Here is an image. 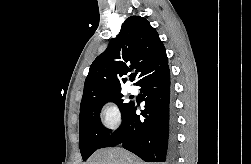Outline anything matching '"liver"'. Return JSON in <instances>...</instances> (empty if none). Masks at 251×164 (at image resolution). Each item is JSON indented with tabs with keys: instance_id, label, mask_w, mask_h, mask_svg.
Instances as JSON below:
<instances>
[{
	"instance_id": "obj_1",
	"label": "liver",
	"mask_w": 251,
	"mask_h": 164,
	"mask_svg": "<svg viewBox=\"0 0 251 164\" xmlns=\"http://www.w3.org/2000/svg\"><path fill=\"white\" fill-rule=\"evenodd\" d=\"M86 164H145L122 148H106L96 151Z\"/></svg>"
}]
</instances>
